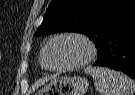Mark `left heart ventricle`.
Masks as SVG:
<instances>
[{
	"label": "left heart ventricle",
	"instance_id": "left-heart-ventricle-1",
	"mask_svg": "<svg viewBox=\"0 0 135 95\" xmlns=\"http://www.w3.org/2000/svg\"><path fill=\"white\" fill-rule=\"evenodd\" d=\"M87 48L83 42L74 38H64L56 41L49 52V64L53 67H65L83 60Z\"/></svg>",
	"mask_w": 135,
	"mask_h": 95
}]
</instances>
